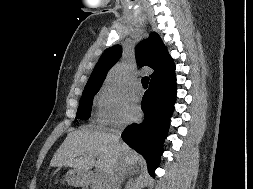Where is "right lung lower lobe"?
<instances>
[{
	"instance_id": "right-lung-lower-lobe-1",
	"label": "right lung lower lobe",
	"mask_w": 253,
	"mask_h": 189,
	"mask_svg": "<svg viewBox=\"0 0 253 189\" xmlns=\"http://www.w3.org/2000/svg\"><path fill=\"white\" fill-rule=\"evenodd\" d=\"M175 99V72L150 81L141 104L143 122L129 125L122 133L123 140L145 158L152 176L163 153V141L168 133Z\"/></svg>"
}]
</instances>
